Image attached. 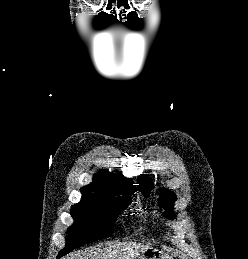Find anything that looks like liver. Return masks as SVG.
I'll return each instance as SVG.
<instances>
[{"mask_svg": "<svg viewBox=\"0 0 248 259\" xmlns=\"http://www.w3.org/2000/svg\"><path fill=\"white\" fill-rule=\"evenodd\" d=\"M149 247L140 243L127 242L91 250L85 254H74L68 259H134Z\"/></svg>", "mask_w": 248, "mask_h": 259, "instance_id": "6515ba94", "label": "liver"}]
</instances>
